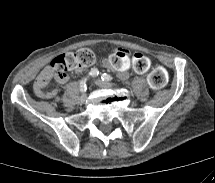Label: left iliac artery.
Returning a JSON list of instances; mask_svg holds the SVG:
<instances>
[{"instance_id": "44dca946", "label": "left iliac artery", "mask_w": 215, "mask_h": 183, "mask_svg": "<svg viewBox=\"0 0 215 183\" xmlns=\"http://www.w3.org/2000/svg\"><path fill=\"white\" fill-rule=\"evenodd\" d=\"M101 79L103 81H111V80H113V77L111 75L107 74V73H104V74H102Z\"/></svg>"}]
</instances>
